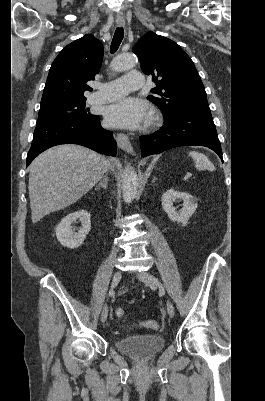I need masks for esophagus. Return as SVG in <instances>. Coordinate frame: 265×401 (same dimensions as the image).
Instances as JSON below:
<instances>
[{"mask_svg": "<svg viewBox=\"0 0 265 401\" xmlns=\"http://www.w3.org/2000/svg\"><path fill=\"white\" fill-rule=\"evenodd\" d=\"M116 24L118 25V27H123L125 25V21L116 20ZM117 145L122 150L127 151L128 153H133V148L127 135L123 133H117Z\"/></svg>", "mask_w": 265, "mask_h": 401, "instance_id": "1", "label": "esophagus"}]
</instances>
